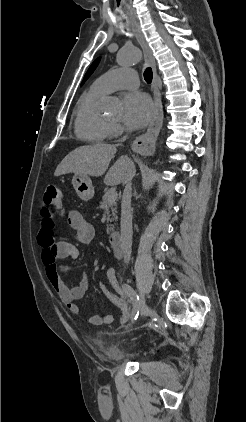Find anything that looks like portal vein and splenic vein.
<instances>
[{"label": "portal vein and splenic vein", "instance_id": "portal-vein-and-splenic-vein-1", "mask_svg": "<svg viewBox=\"0 0 246 422\" xmlns=\"http://www.w3.org/2000/svg\"><path fill=\"white\" fill-rule=\"evenodd\" d=\"M117 196H118V194H117V192H111L109 195H108V201L109 202H114L116 199H117Z\"/></svg>", "mask_w": 246, "mask_h": 422}]
</instances>
